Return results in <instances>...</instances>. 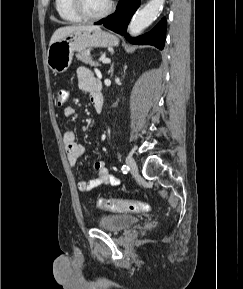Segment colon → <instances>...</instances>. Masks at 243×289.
<instances>
[{
  "label": "colon",
  "instance_id": "obj_1",
  "mask_svg": "<svg viewBox=\"0 0 243 289\" xmlns=\"http://www.w3.org/2000/svg\"><path fill=\"white\" fill-rule=\"evenodd\" d=\"M68 99V91L59 89L56 93V104L63 106ZM98 206L104 210L120 213H146L150 211V206L143 201L122 200V199H100Z\"/></svg>",
  "mask_w": 243,
  "mask_h": 289
}]
</instances>
